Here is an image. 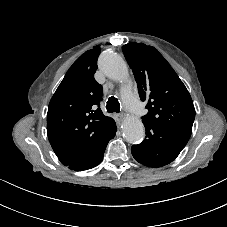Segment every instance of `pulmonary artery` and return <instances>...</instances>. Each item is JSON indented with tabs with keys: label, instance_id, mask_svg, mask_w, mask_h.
<instances>
[{
	"label": "pulmonary artery",
	"instance_id": "pulmonary-artery-1",
	"mask_svg": "<svg viewBox=\"0 0 227 227\" xmlns=\"http://www.w3.org/2000/svg\"><path fill=\"white\" fill-rule=\"evenodd\" d=\"M122 97L126 108L133 114L144 112L143 104L138 100L136 95L129 90L122 91Z\"/></svg>",
	"mask_w": 227,
	"mask_h": 227
}]
</instances>
